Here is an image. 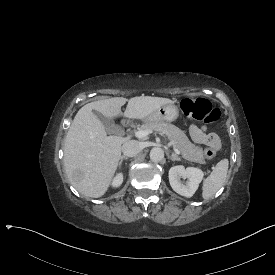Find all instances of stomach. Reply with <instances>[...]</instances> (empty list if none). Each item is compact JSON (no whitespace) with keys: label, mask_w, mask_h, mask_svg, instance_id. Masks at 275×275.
Wrapping results in <instances>:
<instances>
[{"label":"stomach","mask_w":275,"mask_h":275,"mask_svg":"<svg viewBox=\"0 0 275 275\" xmlns=\"http://www.w3.org/2000/svg\"><path fill=\"white\" fill-rule=\"evenodd\" d=\"M179 110L176 105L173 103L163 105L159 107L157 110L152 112L150 115L143 118L145 122H172L178 118Z\"/></svg>","instance_id":"stomach-1"}]
</instances>
